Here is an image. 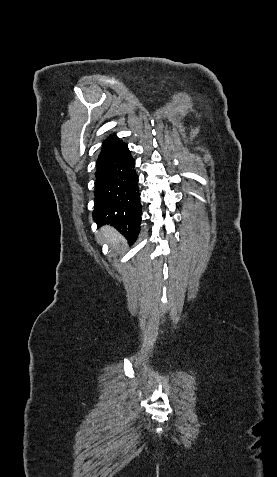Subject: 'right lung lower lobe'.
Returning <instances> with one entry per match:
<instances>
[{
    "label": "right lung lower lobe",
    "instance_id": "1",
    "mask_svg": "<svg viewBox=\"0 0 277 477\" xmlns=\"http://www.w3.org/2000/svg\"><path fill=\"white\" fill-rule=\"evenodd\" d=\"M96 167L94 221L110 224L130 242L136 240L142 211L135 162L127 144L116 135L107 138Z\"/></svg>",
    "mask_w": 277,
    "mask_h": 477
}]
</instances>
